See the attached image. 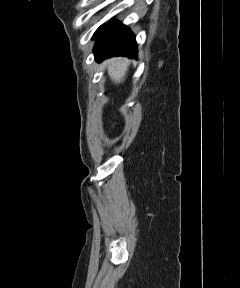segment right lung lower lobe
Masks as SVG:
<instances>
[{"mask_svg": "<svg viewBox=\"0 0 240 288\" xmlns=\"http://www.w3.org/2000/svg\"><path fill=\"white\" fill-rule=\"evenodd\" d=\"M95 36L98 40L94 47V54L98 61L112 56L132 58L137 54L135 36L121 23L112 21L106 28L103 29L102 26Z\"/></svg>", "mask_w": 240, "mask_h": 288, "instance_id": "right-lung-lower-lobe-1", "label": "right lung lower lobe"}]
</instances>
